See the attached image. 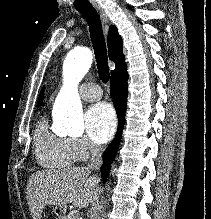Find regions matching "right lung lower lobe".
<instances>
[{
    "mask_svg": "<svg viewBox=\"0 0 211 219\" xmlns=\"http://www.w3.org/2000/svg\"><path fill=\"white\" fill-rule=\"evenodd\" d=\"M127 80V67H124L111 75L110 94L118 116V129L115 138L103 153L102 179L104 182L107 181L111 164L116 156V152L122 137L128 92Z\"/></svg>",
    "mask_w": 211,
    "mask_h": 219,
    "instance_id": "right-lung-lower-lobe-1",
    "label": "right lung lower lobe"
}]
</instances>
